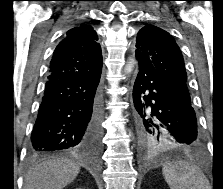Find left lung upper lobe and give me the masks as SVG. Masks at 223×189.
Wrapping results in <instances>:
<instances>
[{"instance_id": "obj_1", "label": "left lung upper lobe", "mask_w": 223, "mask_h": 189, "mask_svg": "<svg viewBox=\"0 0 223 189\" xmlns=\"http://www.w3.org/2000/svg\"><path fill=\"white\" fill-rule=\"evenodd\" d=\"M136 48L139 64L152 68L182 101L191 104L183 56L174 38L159 27L146 25L138 33ZM140 137L150 148H177L172 139L157 128L140 131Z\"/></svg>"}]
</instances>
